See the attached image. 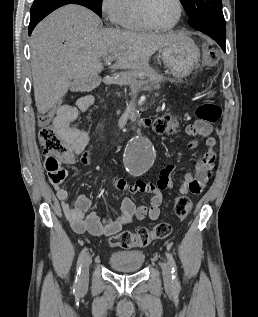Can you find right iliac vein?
I'll return each mask as SVG.
<instances>
[{
	"label": "right iliac vein",
	"mask_w": 258,
	"mask_h": 317,
	"mask_svg": "<svg viewBox=\"0 0 258 317\" xmlns=\"http://www.w3.org/2000/svg\"><path fill=\"white\" fill-rule=\"evenodd\" d=\"M91 263H92V260H91V256H86V258L83 260V263H82V276L83 277H88L89 276V267L91 266Z\"/></svg>",
	"instance_id": "1"
}]
</instances>
